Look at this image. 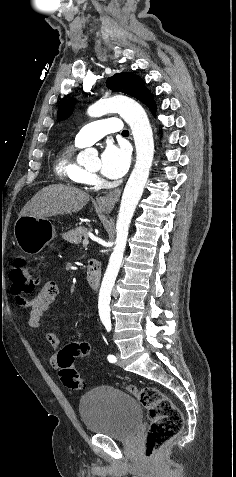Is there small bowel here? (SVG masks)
<instances>
[{"label": "small bowel", "mask_w": 236, "mask_h": 477, "mask_svg": "<svg viewBox=\"0 0 236 477\" xmlns=\"http://www.w3.org/2000/svg\"><path fill=\"white\" fill-rule=\"evenodd\" d=\"M58 285L54 280H48L39 289L37 294L30 300L24 299L21 306L28 309V326L33 329L42 328V318L45 311L53 303L57 296ZM45 340L53 347H58L60 344L59 338L55 332L51 330L42 329ZM91 352V349H90ZM49 364L52 367H57V356L52 355L49 359Z\"/></svg>", "instance_id": "small-bowel-1"}]
</instances>
